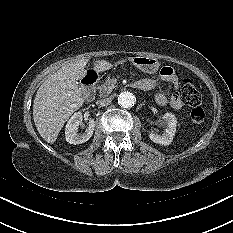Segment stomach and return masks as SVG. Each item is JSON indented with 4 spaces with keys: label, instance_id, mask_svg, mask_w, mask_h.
Wrapping results in <instances>:
<instances>
[{
    "label": "stomach",
    "instance_id": "0dacf381",
    "mask_svg": "<svg viewBox=\"0 0 233 233\" xmlns=\"http://www.w3.org/2000/svg\"><path fill=\"white\" fill-rule=\"evenodd\" d=\"M133 65L146 73H154L159 68V62L154 57L136 56L132 60Z\"/></svg>",
    "mask_w": 233,
    "mask_h": 233
}]
</instances>
